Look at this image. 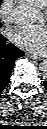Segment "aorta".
<instances>
[{
  "instance_id": "1",
  "label": "aorta",
  "mask_w": 47,
  "mask_h": 129,
  "mask_svg": "<svg viewBox=\"0 0 47 129\" xmlns=\"http://www.w3.org/2000/svg\"><path fill=\"white\" fill-rule=\"evenodd\" d=\"M38 11L28 4H20L13 10L14 19L21 24L33 22L36 19ZM43 74L47 75V66L42 67Z\"/></svg>"
}]
</instances>
